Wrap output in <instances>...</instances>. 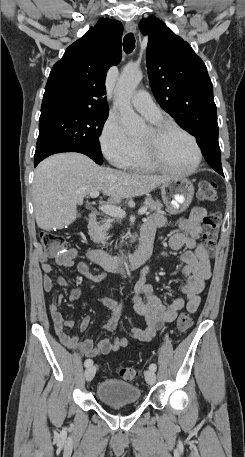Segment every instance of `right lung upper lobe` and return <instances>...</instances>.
Masks as SVG:
<instances>
[{
	"instance_id": "1",
	"label": "right lung upper lobe",
	"mask_w": 245,
	"mask_h": 457,
	"mask_svg": "<svg viewBox=\"0 0 245 457\" xmlns=\"http://www.w3.org/2000/svg\"><path fill=\"white\" fill-rule=\"evenodd\" d=\"M122 23L101 18L70 45L52 68L43 96L41 113L60 108L108 111L105 78L122 56Z\"/></svg>"
}]
</instances>
